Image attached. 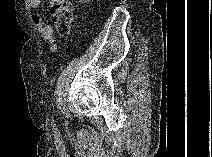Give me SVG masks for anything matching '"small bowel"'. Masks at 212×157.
Instances as JSON below:
<instances>
[{"instance_id":"1","label":"small bowel","mask_w":212,"mask_h":157,"mask_svg":"<svg viewBox=\"0 0 212 157\" xmlns=\"http://www.w3.org/2000/svg\"><path fill=\"white\" fill-rule=\"evenodd\" d=\"M40 0H27L26 7L33 9L40 5ZM33 25L39 30L42 39L49 44L51 52L58 50V45L54 36V29L50 24H44L42 17L39 14H33L31 16Z\"/></svg>"}]
</instances>
